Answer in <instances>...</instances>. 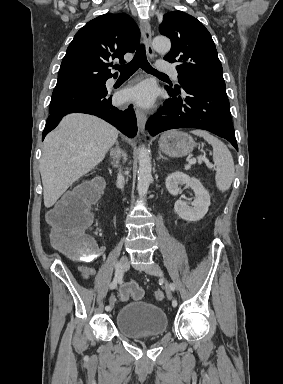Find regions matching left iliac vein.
Here are the masks:
<instances>
[{
    "mask_svg": "<svg viewBox=\"0 0 283 384\" xmlns=\"http://www.w3.org/2000/svg\"><path fill=\"white\" fill-rule=\"evenodd\" d=\"M146 273L154 276L161 277L164 281V288L167 294L168 299H171L172 293H171V288L168 280L164 277L163 271L157 264H153L145 269Z\"/></svg>",
    "mask_w": 283,
    "mask_h": 384,
    "instance_id": "4c4485c4",
    "label": "left iliac vein"
}]
</instances>
